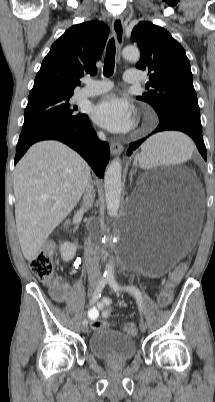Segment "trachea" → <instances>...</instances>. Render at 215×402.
Listing matches in <instances>:
<instances>
[{
    "mask_svg": "<svg viewBox=\"0 0 215 402\" xmlns=\"http://www.w3.org/2000/svg\"><path fill=\"white\" fill-rule=\"evenodd\" d=\"M115 66V41L111 38L107 45L106 56L104 61L103 73L106 77H109L114 72Z\"/></svg>",
    "mask_w": 215,
    "mask_h": 402,
    "instance_id": "obj_1",
    "label": "trachea"
}]
</instances>
